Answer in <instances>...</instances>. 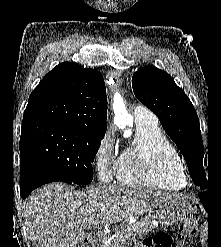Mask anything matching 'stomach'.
<instances>
[{
  "label": "stomach",
  "mask_w": 221,
  "mask_h": 247,
  "mask_svg": "<svg viewBox=\"0 0 221 247\" xmlns=\"http://www.w3.org/2000/svg\"><path fill=\"white\" fill-rule=\"evenodd\" d=\"M191 210V205L183 197H176L161 205L155 211V219L162 225L168 226L187 217Z\"/></svg>",
  "instance_id": "1"
}]
</instances>
